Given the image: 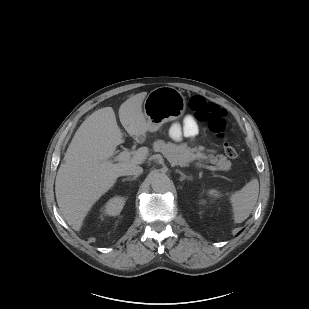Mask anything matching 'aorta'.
<instances>
[{
	"instance_id": "762f6f07",
	"label": "aorta",
	"mask_w": 309,
	"mask_h": 309,
	"mask_svg": "<svg viewBox=\"0 0 309 309\" xmlns=\"http://www.w3.org/2000/svg\"><path fill=\"white\" fill-rule=\"evenodd\" d=\"M151 187L155 192L164 193L170 188V179L165 174H155L151 180Z\"/></svg>"
}]
</instances>
